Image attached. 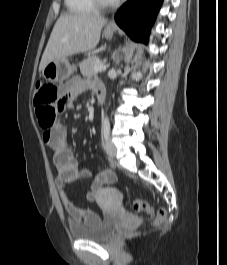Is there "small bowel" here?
<instances>
[{
  "instance_id": "1",
  "label": "small bowel",
  "mask_w": 227,
  "mask_h": 265,
  "mask_svg": "<svg viewBox=\"0 0 227 265\" xmlns=\"http://www.w3.org/2000/svg\"><path fill=\"white\" fill-rule=\"evenodd\" d=\"M59 85L63 86L61 92L65 99H58V112H69L74 106L76 97L88 89H92L96 92L99 88H103L101 84L90 83L79 77H75L70 81H60ZM43 140L53 152V160L58 172L55 184L61 202L71 220L74 223L86 225L98 222L101 217L97 213L82 209L70 200L66 192V185L79 179H90L91 183L85 199L87 202H95L99 199L101 187L115 181L116 176L113 171L104 169L94 174L88 169H81L68 144L66 129L64 125L59 122H54L48 129L44 130Z\"/></svg>"
}]
</instances>
